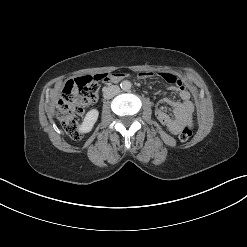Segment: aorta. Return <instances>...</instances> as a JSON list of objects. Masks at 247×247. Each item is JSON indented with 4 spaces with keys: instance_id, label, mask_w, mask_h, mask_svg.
<instances>
[{
    "instance_id": "762f6f07",
    "label": "aorta",
    "mask_w": 247,
    "mask_h": 247,
    "mask_svg": "<svg viewBox=\"0 0 247 247\" xmlns=\"http://www.w3.org/2000/svg\"><path fill=\"white\" fill-rule=\"evenodd\" d=\"M131 82L128 81V80H124L122 83H121V89L124 90V91H128L131 89Z\"/></svg>"
}]
</instances>
